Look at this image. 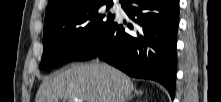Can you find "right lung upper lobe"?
<instances>
[{
  "label": "right lung upper lobe",
  "mask_w": 221,
  "mask_h": 102,
  "mask_svg": "<svg viewBox=\"0 0 221 102\" xmlns=\"http://www.w3.org/2000/svg\"><path fill=\"white\" fill-rule=\"evenodd\" d=\"M90 1H96V0H49L45 15V21L56 15L64 8L72 6V4L75 2H90Z\"/></svg>",
  "instance_id": "obj_1"
}]
</instances>
